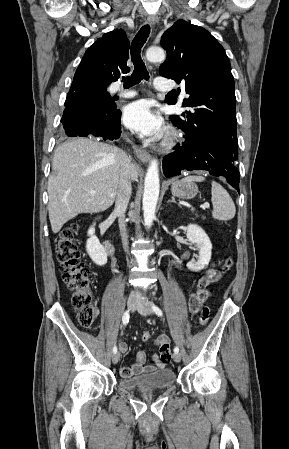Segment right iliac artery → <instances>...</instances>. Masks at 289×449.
I'll return each mask as SVG.
<instances>
[{
    "label": "right iliac artery",
    "instance_id": "82829eb1",
    "mask_svg": "<svg viewBox=\"0 0 289 449\" xmlns=\"http://www.w3.org/2000/svg\"><path fill=\"white\" fill-rule=\"evenodd\" d=\"M129 318H130L129 311H125L123 316H122V323L124 325H126L129 322ZM113 353L114 354L117 353V346L113 347Z\"/></svg>",
    "mask_w": 289,
    "mask_h": 449
}]
</instances>
